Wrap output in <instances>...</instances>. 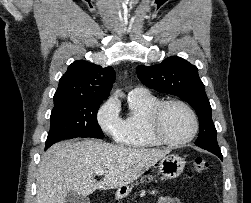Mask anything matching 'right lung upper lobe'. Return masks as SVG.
I'll return each instance as SVG.
<instances>
[{
	"mask_svg": "<svg viewBox=\"0 0 251 203\" xmlns=\"http://www.w3.org/2000/svg\"><path fill=\"white\" fill-rule=\"evenodd\" d=\"M114 69L85 60L73 62L60 78L54 94V106L79 100H104L115 81Z\"/></svg>",
	"mask_w": 251,
	"mask_h": 203,
	"instance_id": "right-lung-upper-lobe-1",
	"label": "right lung upper lobe"
}]
</instances>
